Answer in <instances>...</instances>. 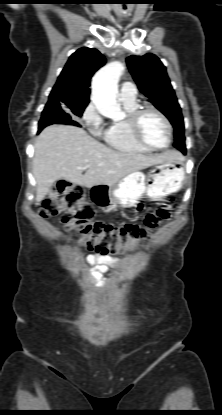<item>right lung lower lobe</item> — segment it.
<instances>
[{"label": "right lung lower lobe", "mask_w": 222, "mask_h": 415, "mask_svg": "<svg viewBox=\"0 0 222 415\" xmlns=\"http://www.w3.org/2000/svg\"><path fill=\"white\" fill-rule=\"evenodd\" d=\"M58 123V124H71L75 126H80L77 122L73 121L70 116H68L63 111H47L44 109L42 112V117L39 122L38 132L48 125Z\"/></svg>", "instance_id": "98d812e1"}]
</instances>
